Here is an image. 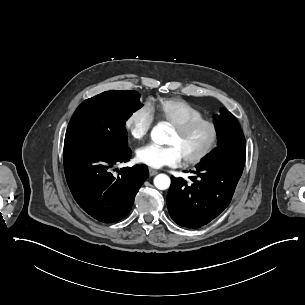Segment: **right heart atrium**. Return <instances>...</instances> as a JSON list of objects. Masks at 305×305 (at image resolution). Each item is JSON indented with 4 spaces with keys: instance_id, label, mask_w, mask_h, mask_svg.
<instances>
[{
    "instance_id": "obj_1",
    "label": "right heart atrium",
    "mask_w": 305,
    "mask_h": 305,
    "mask_svg": "<svg viewBox=\"0 0 305 305\" xmlns=\"http://www.w3.org/2000/svg\"><path fill=\"white\" fill-rule=\"evenodd\" d=\"M154 122V116L150 108L141 105L133 110L125 120V127L133 140H142L151 129Z\"/></svg>"
}]
</instances>
